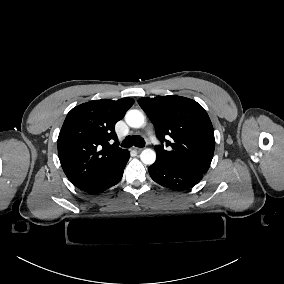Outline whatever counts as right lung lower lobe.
<instances>
[{
  "label": "right lung lower lobe",
  "instance_id": "98d812e1",
  "mask_svg": "<svg viewBox=\"0 0 284 284\" xmlns=\"http://www.w3.org/2000/svg\"><path fill=\"white\" fill-rule=\"evenodd\" d=\"M129 152L123 157V159L113 167L104 177H102L99 181L94 183L93 185L87 187L85 192L89 194H97L104 192L108 188L116 185L123 176L124 168L129 160Z\"/></svg>",
  "mask_w": 284,
  "mask_h": 284
}]
</instances>
